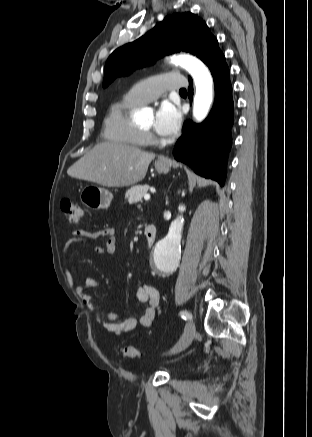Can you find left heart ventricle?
<instances>
[{
    "instance_id": "left-heart-ventricle-1",
    "label": "left heart ventricle",
    "mask_w": 312,
    "mask_h": 437,
    "mask_svg": "<svg viewBox=\"0 0 312 437\" xmlns=\"http://www.w3.org/2000/svg\"><path fill=\"white\" fill-rule=\"evenodd\" d=\"M154 126V119L153 117H149L146 121V123L142 126L143 129L149 130Z\"/></svg>"
}]
</instances>
